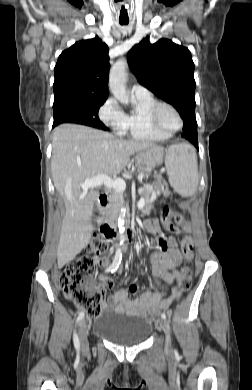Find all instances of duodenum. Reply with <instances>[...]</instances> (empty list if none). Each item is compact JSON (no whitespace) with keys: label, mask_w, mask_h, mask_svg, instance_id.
Masks as SVG:
<instances>
[{"label":"duodenum","mask_w":252,"mask_h":390,"mask_svg":"<svg viewBox=\"0 0 252 390\" xmlns=\"http://www.w3.org/2000/svg\"><path fill=\"white\" fill-rule=\"evenodd\" d=\"M98 202L103 209H107L109 206V197L106 193H101L98 197ZM100 231L107 233V237L111 242L117 240L118 235L110 221H106L100 225ZM125 240L127 242L134 241L136 236L131 229H127L124 233Z\"/></svg>","instance_id":"1"}]
</instances>
